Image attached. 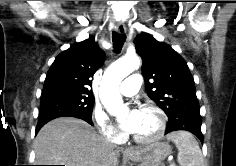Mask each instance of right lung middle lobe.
<instances>
[{"label":"right lung middle lobe","mask_w":236,"mask_h":166,"mask_svg":"<svg viewBox=\"0 0 236 166\" xmlns=\"http://www.w3.org/2000/svg\"><path fill=\"white\" fill-rule=\"evenodd\" d=\"M95 98L92 94L53 89L42 92L39 120L79 112L91 118Z\"/></svg>","instance_id":"dd1d6c3e"}]
</instances>
